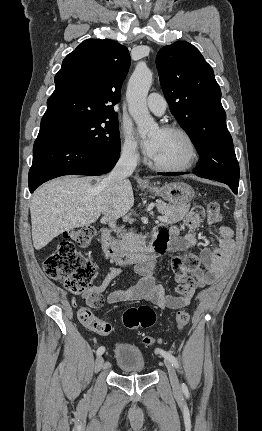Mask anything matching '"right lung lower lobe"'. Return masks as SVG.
<instances>
[{
	"instance_id": "obj_1",
	"label": "right lung lower lobe",
	"mask_w": 262,
	"mask_h": 431,
	"mask_svg": "<svg viewBox=\"0 0 262 431\" xmlns=\"http://www.w3.org/2000/svg\"><path fill=\"white\" fill-rule=\"evenodd\" d=\"M119 153L120 148L107 151L69 137L39 133L33 147L29 190L33 193L42 183L63 175L105 174L115 166Z\"/></svg>"
}]
</instances>
